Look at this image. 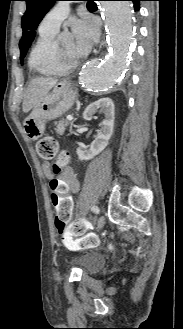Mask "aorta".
I'll return each mask as SVG.
<instances>
[{"label":"aorta","instance_id":"1","mask_svg":"<svg viewBox=\"0 0 183 329\" xmlns=\"http://www.w3.org/2000/svg\"><path fill=\"white\" fill-rule=\"evenodd\" d=\"M102 14L108 32L110 51L103 61L83 68L80 82L91 91L111 90L123 72L133 37L132 5L129 1H102Z\"/></svg>","mask_w":183,"mask_h":329}]
</instances>
